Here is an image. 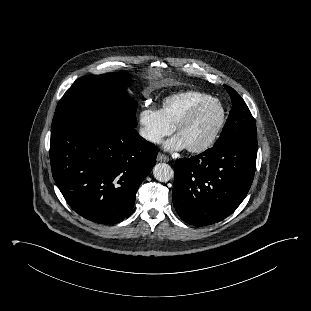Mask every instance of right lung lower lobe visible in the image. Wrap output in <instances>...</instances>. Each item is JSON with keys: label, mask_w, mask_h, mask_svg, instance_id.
I'll use <instances>...</instances> for the list:
<instances>
[{"label": "right lung lower lobe", "mask_w": 311, "mask_h": 311, "mask_svg": "<svg viewBox=\"0 0 311 311\" xmlns=\"http://www.w3.org/2000/svg\"><path fill=\"white\" fill-rule=\"evenodd\" d=\"M157 148L128 124L79 123L52 130V175L69 206L100 224L132 212L136 192L152 170Z\"/></svg>", "instance_id": "98d812e1"}]
</instances>
